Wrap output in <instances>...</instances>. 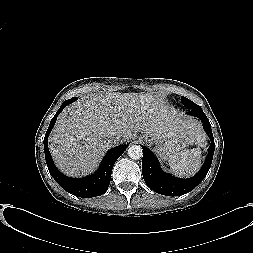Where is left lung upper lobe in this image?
<instances>
[{
	"mask_svg": "<svg viewBox=\"0 0 253 253\" xmlns=\"http://www.w3.org/2000/svg\"><path fill=\"white\" fill-rule=\"evenodd\" d=\"M181 102L187 107V108H191L192 106H197V104H195L194 102H192L191 100L185 98V97H181Z\"/></svg>",
	"mask_w": 253,
	"mask_h": 253,
	"instance_id": "left-lung-upper-lobe-1",
	"label": "left lung upper lobe"
}]
</instances>
